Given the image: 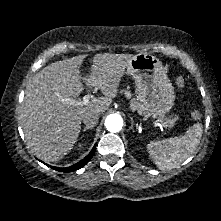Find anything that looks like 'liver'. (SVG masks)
<instances>
[{
  "label": "liver",
  "mask_w": 221,
  "mask_h": 221,
  "mask_svg": "<svg viewBox=\"0 0 221 221\" xmlns=\"http://www.w3.org/2000/svg\"><path fill=\"white\" fill-rule=\"evenodd\" d=\"M85 57L79 55L46 66L25 91L20 115L24 136L31 151L45 162L58 161L73 149L83 115L100 114L110 107L134 55L96 54L91 73L82 79L79 74ZM81 79L88 87L100 89L105 97L78 105L84 89Z\"/></svg>",
  "instance_id": "liver-1"
}]
</instances>
